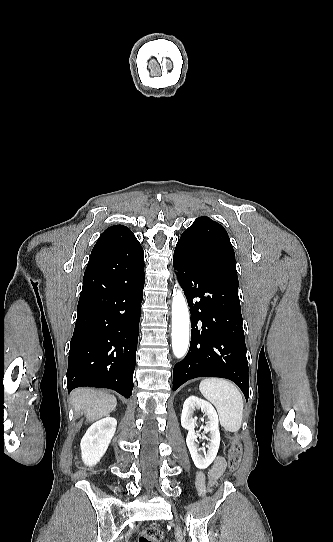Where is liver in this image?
<instances>
[{
  "mask_svg": "<svg viewBox=\"0 0 333 542\" xmlns=\"http://www.w3.org/2000/svg\"><path fill=\"white\" fill-rule=\"evenodd\" d=\"M71 402L74 410H85L87 422H96L100 418H106L117 406L115 396L102 394L92 388H78L71 394Z\"/></svg>",
  "mask_w": 333,
  "mask_h": 542,
  "instance_id": "obj_1",
  "label": "liver"
}]
</instances>
